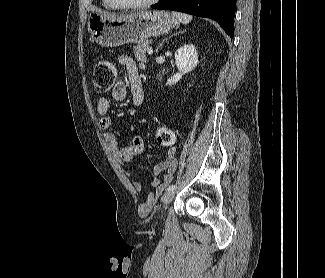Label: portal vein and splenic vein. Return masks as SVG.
Instances as JSON below:
<instances>
[{
	"label": "portal vein and splenic vein",
	"mask_w": 325,
	"mask_h": 278,
	"mask_svg": "<svg viewBox=\"0 0 325 278\" xmlns=\"http://www.w3.org/2000/svg\"><path fill=\"white\" fill-rule=\"evenodd\" d=\"M147 53L149 54V55H152L153 54V49L150 47V48H148L147 49Z\"/></svg>",
	"instance_id": "portal-vein-and-splenic-vein-1"
}]
</instances>
